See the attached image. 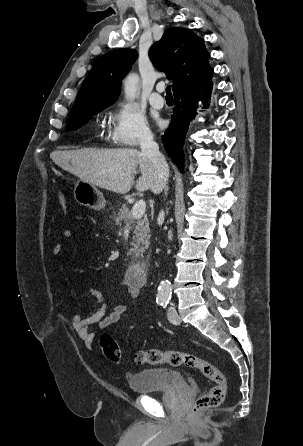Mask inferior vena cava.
<instances>
[{
	"label": "inferior vena cava",
	"instance_id": "602c4592",
	"mask_svg": "<svg viewBox=\"0 0 303 446\" xmlns=\"http://www.w3.org/2000/svg\"><path fill=\"white\" fill-rule=\"evenodd\" d=\"M140 147L142 154L147 156L149 161L153 164L155 172L159 178L162 190L164 189L165 191H167L169 167L164 155H162L159 151L158 144L153 140V135L152 134L146 135L142 139ZM160 215L163 216L164 212L161 211Z\"/></svg>",
	"mask_w": 303,
	"mask_h": 446
}]
</instances>
